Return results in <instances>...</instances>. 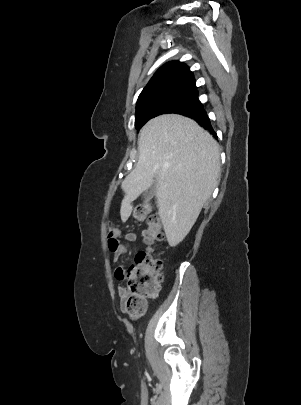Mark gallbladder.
I'll return each instance as SVG.
<instances>
[{"label": "gallbladder", "mask_w": 301, "mask_h": 405, "mask_svg": "<svg viewBox=\"0 0 301 405\" xmlns=\"http://www.w3.org/2000/svg\"><path fill=\"white\" fill-rule=\"evenodd\" d=\"M156 195V181L143 193L144 201L151 200Z\"/></svg>", "instance_id": "bac80fb5"}]
</instances>
